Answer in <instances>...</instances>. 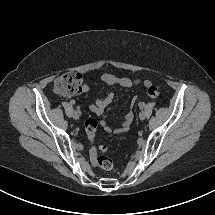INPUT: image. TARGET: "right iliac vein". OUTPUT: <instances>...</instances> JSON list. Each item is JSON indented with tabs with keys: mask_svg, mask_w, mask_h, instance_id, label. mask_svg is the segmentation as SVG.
I'll use <instances>...</instances> for the list:
<instances>
[{
	"mask_svg": "<svg viewBox=\"0 0 215 215\" xmlns=\"http://www.w3.org/2000/svg\"><path fill=\"white\" fill-rule=\"evenodd\" d=\"M79 117H80V113L78 111H75L73 113V118L77 120V119H79Z\"/></svg>",
	"mask_w": 215,
	"mask_h": 215,
	"instance_id": "right-iliac-vein-1",
	"label": "right iliac vein"
}]
</instances>
